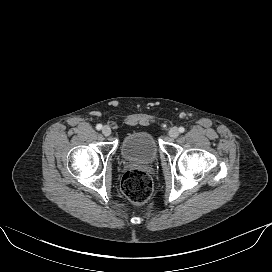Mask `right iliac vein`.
<instances>
[{
    "mask_svg": "<svg viewBox=\"0 0 272 272\" xmlns=\"http://www.w3.org/2000/svg\"><path fill=\"white\" fill-rule=\"evenodd\" d=\"M102 133H103V135H105V136H109V135L111 134V129H110L108 126H104V127L102 128Z\"/></svg>",
    "mask_w": 272,
    "mask_h": 272,
    "instance_id": "obj_1",
    "label": "right iliac vein"
}]
</instances>
